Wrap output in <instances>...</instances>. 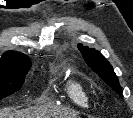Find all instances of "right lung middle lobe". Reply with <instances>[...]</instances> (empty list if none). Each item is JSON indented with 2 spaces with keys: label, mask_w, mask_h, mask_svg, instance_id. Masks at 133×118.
Instances as JSON below:
<instances>
[{
  "label": "right lung middle lobe",
  "mask_w": 133,
  "mask_h": 118,
  "mask_svg": "<svg viewBox=\"0 0 133 118\" xmlns=\"http://www.w3.org/2000/svg\"><path fill=\"white\" fill-rule=\"evenodd\" d=\"M31 65L0 69V100L18 91Z\"/></svg>",
  "instance_id": "dd1d6c3e"
}]
</instances>
